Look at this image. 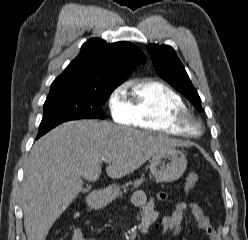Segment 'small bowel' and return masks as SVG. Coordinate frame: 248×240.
<instances>
[{
  "instance_id": "1",
  "label": "small bowel",
  "mask_w": 248,
  "mask_h": 240,
  "mask_svg": "<svg viewBox=\"0 0 248 240\" xmlns=\"http://www.w3.org/2000/svg\"><path fill=\"white\" fill-rule=\"evenodd\" d=\"M166 193H158V200H166ZM134 205L141 207L143 211L142 227L147 230L156 224L158 213L155 209V198L148 191L139 190L132 196ZM190 209L195 220L196 226L208 237L209 240H218L219 237L211 226L209 219L203 209L196 203L179 202L175 209L165 216L161 221V228L164 233H172L175 236L179 235L183 226L184 212ZM71 240H90L84 237L81 227L74 228Z\"/></svg>"
}]
</instances>
